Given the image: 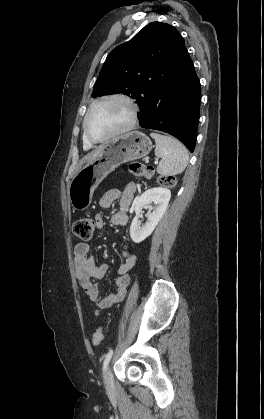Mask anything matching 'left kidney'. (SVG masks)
<instances>
[{"mask_svg":"<svg viewBox=\"0 0 264 419\" xmlns=\"http://www.w3.org/2000/svg\"><path fill=\"white\" fill-rule=\"evenodd\" d=\"M170 198V190L163 187L151 188L141 194L135 205L136 216L132 220L130 226V236L133 242L140 243L151 235L164 215ZM151 202L154 203L152 211H148L146 223L140 226L138 216L142 209L148 206Z\"/></svg>","mask_w":264,"mask_h":419,"instance_id":"left-kidney-1","label":"left kidney"}]
</instances>
